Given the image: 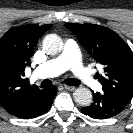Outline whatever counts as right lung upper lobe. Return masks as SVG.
I'll return each mask as SVG.
<instances>
[{
	"mask_svg": "<svg viewBox=\"0 0 133 133\" xmlns=\"http://www.w3.org/2000/svg\"><path fill=\"white\" fill-rule=\"evenodd\" d=\"M51 25L13 27L0 39V104L11 115L30 109L43 90L30 86L24 70L34 46Z\"/></svg>",
	"mask_w": 133,
	"mask_h": 133,
	"instance_id": "1",
	"label": "right lung upper lobe"
}]
</instances>
